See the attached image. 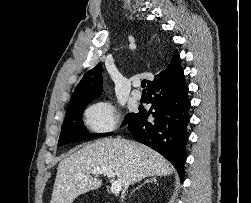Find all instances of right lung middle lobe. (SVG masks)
Listing matches in <instances>:
<instances>
[{
  "label": "right lung middle lobe",
  "mask_w": 251,
  "mask_h": 203,
  "mask_svg": "<svg viewBox=\"0 0 251 203\" xmlns=\"http://www.w3.org/2000/svg\"><path fill=\"white\" fill-rule=\"evenodd\" d=\"M91 101H84L69 104L66 116L61 128V134L58 145H65L78 140L93 138L99 134H90L85 129L83 121L81 120L84 108ZM135 117L134 113L128 114L125 118L124 124L130 122ZM110 133L102 134L109 135Z\"/></svg>",
  "instance_id": "dd1d6c3e"
}]
</instances>
